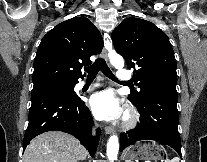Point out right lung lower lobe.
Returning a JSON list of instances; mask_svg holds the SVG:
<instances>
[{"mask_svg": "<svg viewBox=\"0 0 207 162\" xmlns=\"http://www.w3.org/2000/svg\"><path fill=\"white\" fill-rule=\"evenodd\" d=\"M31 101L23 150L39 134L47 131H63L79 139L90 155H94L100 131L95 138L91 137L93 121L83 100L60 91H45L32 94Z\"/></svg>", "mask_w": 207, "mask_h": 162, "instance_id": "98d812e1", "label": "right lung lower lobe"}]
</instances>
